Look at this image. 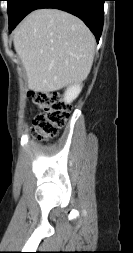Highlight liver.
<instances>
[{
    "label": "liver",
    "mask_w": 133,
    "mask_h": 253,
    "mask_svg": "<svg viewBox=\"0 0 133 253\" xmlns=\"http://www.w3.org/2000/svg\"><path fill=\"white\" fill-rule=\"evenodd\" d=\"M13 42L28 88L44 93L86 79L96 45L94 35L79 18L56 9L30 13L15 29Z\"/></svg>",
    "instance_id": "obj_1"
}]
</instances>
